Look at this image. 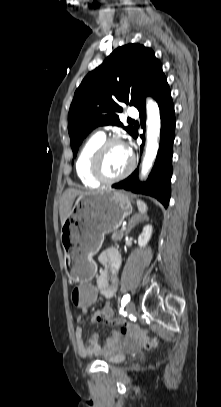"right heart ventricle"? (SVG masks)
Segmentation results:
<instances>
[{
    "mask_svg": "<svg viewBox=\"0 0 221 407\" xmlns=\"http://www.w3.org/2000/svg\"><path fill=\"white\" fill-rule=\"evenodd\" d=\"M104 140V135L96 133L85 141L78 153L75 164L76 174L80 182L86 187H97L100 184L91 176L89 164L93 153Z\"/></svg>",
    "mask_w": 221,
    "mask_h": 407,
    "instance_id": "right-heart-ventricle-1",
    "label": "right heart ventricle"
}]
</instances>
